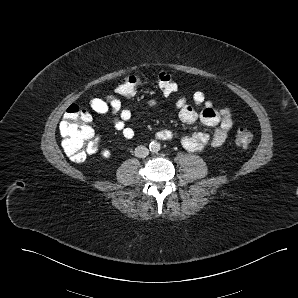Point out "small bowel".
<instances>
[{"label":"small bowel","mask_w":298,"mask_h":298,"mask_svg":"<svg viewBox=\"0 0 298 298\" xmlns=\"http://www.w3.org/2000/svg\"><path fill=\"white\" fill-rule=\"evenodd\" d=\"M192 100L195 106L200 107V110H196L185 97L176 100L175 107L180 120L188 124L200 120L207 126L215 127V130L212 134L194 132L185 135L180 140L182 146L188 151L197 152L206 146L219 147L223 145L234 125L231 110L226 106L216 107L202 91L195 92ZM157 105L156 100L150 99L147 101L149 107H156ZM89 106L97 114L113 115L114 127L125 139H132L135 136L134 129L127 125L132 117V112L127 108H123L117 97L108 95L104 98H93L89 101ZM157 137L161 140H171L175 138V134L171 130L163 129L157 132ZM92 154H99L105 158L111 156L108 149L101 148L99 145Z\"/></svg>","instance_id":"small-bowel-1"}]
</instances>
